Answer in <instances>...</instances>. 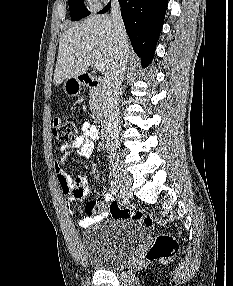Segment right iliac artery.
<instances>
[{
	"instance_id": "obj_1",
	"label": "right iliac artery",
	"mask_w": 233,
	"mask_h": 286,
	"mask_svg": "<svg viewBox=\"0 0 233 286\" xmlns=\"http://www.w3.org/2000/svg\"><path fill=\"white\" fill-rule=\"evenodd\" d=\"M110 185H111L112 194H113V195H117L118 192H119V185H118V183L116 182V180L112 179V180L110 181Z\"/></svg>"
}]
</instances>
